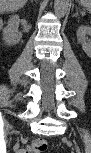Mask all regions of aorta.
<instances>
[{"label": "aorta", "mask_w": 91, "mask_h": 153, "mask_svg": "<svg viewBox=\"0 0 91 153\" xmlns=\"http://www.w3.org/2000/svg\"><path fill=\"white\" fill-rule=\"evenodd\" d=\"M69 8V0H55L54 11L56 16L64 17Z\"/></svg>", "instance_id": "1"}]
</instances>
